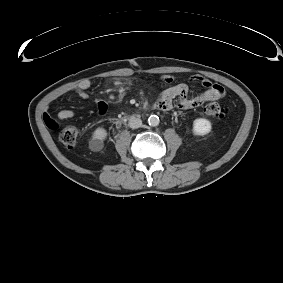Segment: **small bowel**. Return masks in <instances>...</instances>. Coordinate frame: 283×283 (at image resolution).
<instances>
[{
  "label": "small bowel",
  "mask_w": 283,
  "mask_h": 283,
  "mask_svg": "<svg viewBox=\"0 0 283 283\" xmlns=\"http://www.w3.org/2000/svg\"><path fill=\"white\" fill-rule=\"evenodd\" d=\"M160 82L167 86L160 94L157 102L161 109H171L175 104L181 109H193L207 102L222 99L226 95L225 89L212 83L209 79L195 75L190 78V82H197L204 88L203 91L190 96L189 87L185 83L173 84L174 77L171 75H163L159 78ZM92 86V82L88 79L82 80L75 88L76 93L83 99L88 97L87 90ZM107 104L104 101L98 103V111L104 114ZM58 119L68 120L74 117V111L71 109H62L57 114ZM45 124L50 128L56 127V121L53 117L44 115Z\"/></svg>",
  "instance_id": "obj_1"
}]
</instances>
